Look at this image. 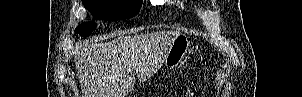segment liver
Returning <instances> with one entry per match:
<instances>
[{"mask_svg":"<svg viewBox=\"0 0 302 97\" xmlns=\"http://www.w3.org/2000/svg\"><path fill=\"white\" fill-rule=\"evenodd\" d=\"M180 34L122 35L105 43L85 44L74 58L83 97H126L135 83L133 70L143 77L158 69Z\"/></svg>","mask_w":302,"mask_h":97,"instance_id":"obj_1","label":"liver"}]
</instances>
